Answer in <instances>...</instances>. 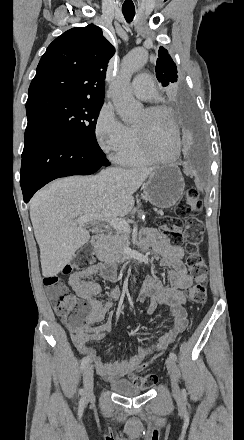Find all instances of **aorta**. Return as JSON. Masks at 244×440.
Instances as JSON below:
<instances>
[{
	"label": "aorta",
	"instance_id": "762f6f07",
	"mask_svg": "<svg viewBox=\"0 0 244 440\" xmlns=\"http://www.w3.org/2000/svg\"><path fill=\"white\" fill-rule=\"evenodd\" d=\"M147 57L148 54L145 49L132 50L124 57L121 70L110 86L115 109L122 121L128 124L137 120L142 109V104L131 93V77L144 66Z\"/></svg>",
	"mask_w": 244,
	"mask_h": 440
}]
</instances>
